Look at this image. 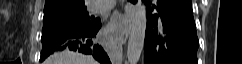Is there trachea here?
Masks as SVG:
<instances>
[{
    "mask_svg": "<svg viewBox=\"0 0 242 64\" xmlns=\"http://www.w3.org/2000/svg\"><path fill=\"white\" fill-rule=\"evenodd\" d=\"M130 2H136L137 0H129Z\"/></svg>",
    "mask_w": 242,
    "mask_h": 64,
    "instance_id": "1",
    "label": "trachea"
}]
</instances>
